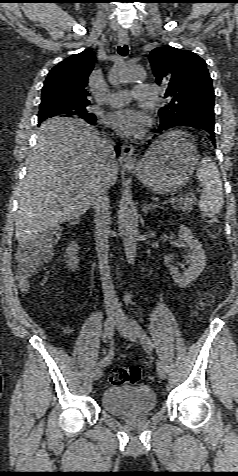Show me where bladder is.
Instances as JSON below:
<instances>
[{
	"label": "bladder",
	"instance_id": "obj_1",
	"mask_svg": "<svg viewBox=\"0 0 238 476\" xmlns=\"http://www.w3.org/2000/svg\"><path fill=\"white\" fill-rule=\"evenodd\" d=\"M156 405L155 392L151 387L144 384L110 386L101 395L102 408L116 416L148 413Z\"/></svg>",
	"mask_w": 238,
	"mask_h": 476
}]
</instances>
